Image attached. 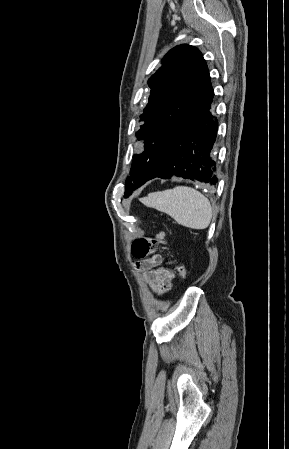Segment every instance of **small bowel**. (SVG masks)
Wrapping results in <instances>:
<instances>
[{
    "mask_svg": "<svg viewBox=\"0 0 289 449\" xmlns=\"http://www.w3.org/2000/svg\"><path fill=\"white\" fill-rule=\"evenodd\" d=\"M161 262L162 258L160 255H152L139 259L136 263L137 268L143 273L151 289L158 295L169 292L175 278L174 273L162 266Z\"/></svg>",
    "mask_w": 289,
    "mask_h": 449,
    "instance_id": "1",
    "label": "small bowel"
}]
</instances>
